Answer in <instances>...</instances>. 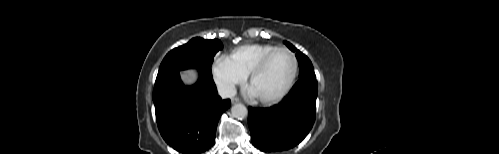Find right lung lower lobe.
Returning <instances> with one entry per match:
<instances>
[{"label":"right lung lower lobe","mask_w":499,"mask_h":154,"mask_svg":"<svg viewBox=\"0 0 499 154\" xmlns=\"http://www.w3.org/2000/svg\"><path fill=\"white\" fill-rule=\"evenodd\" d=\"M199 72L192 86H185L175 71L157 78L153 90L159 131L168 145L183 154H199L213 146L220 116L231 105L218 96L211 72Z\"/></svg>","instance_id":"1"}]
</instances>
